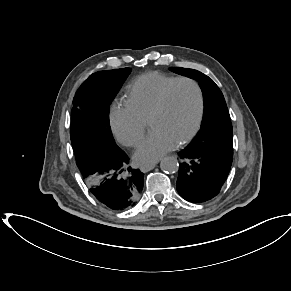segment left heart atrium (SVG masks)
<instances>
[{
	"instance_id": "39dd6f15",
	"label": "left heart atrium",
	"mask_w": 291,
	"mask_h": 291,
	"mask_svg": "<svg viewBox=\"0 0 291 291\" xmlns=\"http://www.w3.org/2000/svg\"><path fill=\"white\" fill-rule=\"evenodd\" d=\"M176 145L177 142L168 134L161 131H153L139 145L134 154V159L142 165L154 163L174 149Z\"/></svg>"
}]
</instances>
